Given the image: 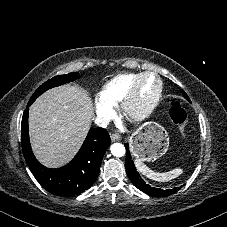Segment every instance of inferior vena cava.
<instances>
[{"mask_svg": "<svg viewBox=\"0 0 227 227\" xmlns=\"http://www.w3.org/2000/svg\"><path fill=\"white\" fill-rule=\"evenodd\" d=\"M94 122L97 126L105 128L109 124V119L107 117H104V116H97L95 118Z\"/></svg>", "mask_w": 227, "mask_h": 227, "instance_id": "inferior-vena-cava-1", "label": "inferior vena cava"}]
</instances>
